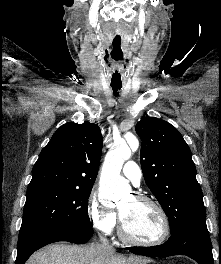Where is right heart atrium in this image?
<instances>
[{
  "instance_id": "obj_1",
  "label": "right heart atrium",
  "mask_w": 221,
  "mask_h": 264,
  "mask_svg": "<svg viewBox=\"0 0 221 264\" xmlns=\"http://www.w3.org/2000/svg\"><path fill=\"white\" fill-rule=\"evenodd\" d=\"M86 215L92 227L101 234L109 235L116 227V214L99 201L96 193H91L87 199Z\"/></svg>"
}]
</instances>
